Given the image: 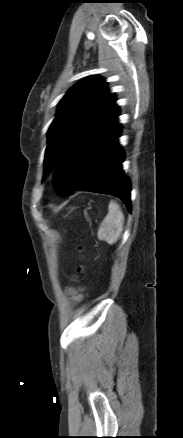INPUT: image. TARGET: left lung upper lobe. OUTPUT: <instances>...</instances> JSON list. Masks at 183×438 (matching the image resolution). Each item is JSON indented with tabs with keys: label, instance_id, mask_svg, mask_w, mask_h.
Returning a JSON list of instances; mask_svg holds the SVG:
<instances>
[{
	"label": "left lung upper lobe",
	"instance_id": "left-lung-upper-lobe-1",
	"mask_svg": "<svg viewBox=\"0 0 183 438\" xmlns=\"http://www.w3.org/2000/svg\"><path fill=\"white\" fill-rule=\"evenodd\" d=\"M118 109L104 79L90 76L73 86L60 101L48 130L43 178L53 174L60 161Z\"/></svg>",
	"mask_w": 183,
	"mask_h": 438
}]
</instances>
